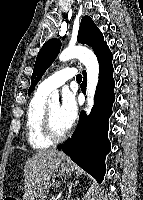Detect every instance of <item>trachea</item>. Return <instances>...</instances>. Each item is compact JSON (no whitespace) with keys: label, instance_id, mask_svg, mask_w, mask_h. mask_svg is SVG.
Masks as SVG:
<instances>
[{"label":"trachea","instance_id":"obj_1","mask_svg":"<svg viewBox=\"0 0 143 200\" xmlns=\"http://www.w3.org/2000/svg\"><path fill=\"white\" fill-rule=\"evenodd\" d=\"M76 80H77V82H81V81H82V76H81V74H78V75L76 76Z\"/></svg>","mask_w":143,"mask_h":200}]
</instances>
